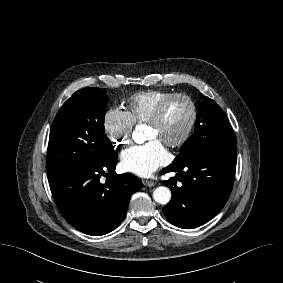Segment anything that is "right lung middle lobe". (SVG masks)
<instances>
[{"label":"right lung middle lobe","mask_w":283,"mask_h":283,"mask_svg":"<svg viewBox=\"0 0 283 283\" xmlns=\"http://www.w3.org/2000/svg\"><path fill=\"white\" fill-rule=\"evenodd\" d=\"M106 91L84 88L76 91L58 111L50 131L48 180L97 165L114 148L104 135Z\"/></svg>","instance_id":"1"}]
</instances>
